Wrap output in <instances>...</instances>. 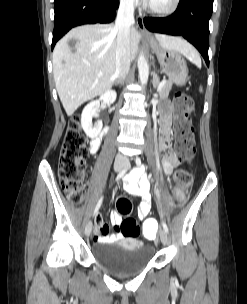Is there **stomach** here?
Wrapping results in <instances>:
<instances>
[{
	"instance_id": "0dacf381",
	"label": "stomach",
	"mask_w": 247,
	"mask_h": 304,
	"mask_svg": "<svg viewBox=\"0 0 247 304\" xmlns=\"http://www.w3.org/2000/svg\"><path fill=\"white\" fill-rule=\"evenodd\" d=\"M151 47L169 79L176 85H184L188 78V68L182 55L177 51L161 48L153 40L151 41Z\"/></svg>"
}]
</instances>
